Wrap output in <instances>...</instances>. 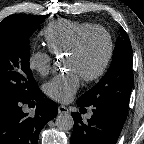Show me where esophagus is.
<instances>
[{
  "instance_id": "34e87169",
  "label": "esophagus",
  "mask_w": 144,
  "mask_h": 144,
  "mask_svg": "<svg viewBox=\"0 0 144 144\" xmlns=\"http://www.w3.org/2000/svg\"><path fill=\"white\" fill-rule=\"evenodd\" d=\"M58 113L59 114H68L69 110L67 107L60 105V106H58Z\"/></svg>"
}]
</instances>
